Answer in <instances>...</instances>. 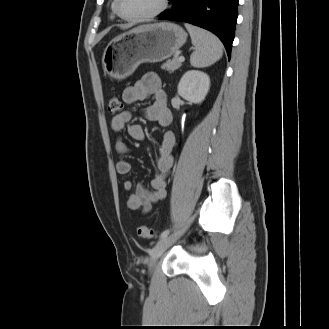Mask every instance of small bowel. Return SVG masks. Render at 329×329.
Here are the masks:
<instances>
[{
	"mask_svg": "<svg viewBox=\"0 0 329 329\" xmlns=\"http://www.w3.org/2000/svg\"><path fill=\"white\" fill-rule=\"evenodd\" d=\"M150 96L153 97V103L145 108V117L162 127L169 126L172 121V115L167 105L166 94L162 89L161 79L156 73L149 72L145 74L141 80L125 88L122 93V99L126 104L143 101ZM131 119L132 113L130 111H122L112 117L110 127L117 133L126 128L131 139L142 141L145 138L144 129L139 124H130ZM174 146L175 136L173 132H164L156 158L158 172L151 180V189H147L141 184L133 189V182L130 179L123 181V188L129 192L127 206L131 210L142 209L147 211L153 203L164 199L166 195V178L174 162ZM115 149L120 154L128 153V148L121 136H118L116 139ZM116 169L121 175H129L132 169L131 163L126 159H120L116 163Z\"/></svg>",
	"mask_w": 329,
	"mask_h": 329,
	"instance_id": "1",
	"label": "small bowel"
}]
</instances>
